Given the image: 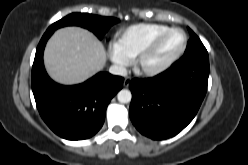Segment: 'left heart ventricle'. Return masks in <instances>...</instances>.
<instances>
[{
	"mask_svg": "<svg viewBox=\"0 0 248 165\" xmlns=\"http://www.w3.org/2000/svg\"><path fill=\"white\" fill-rule=\"evenodd\" d=\"M182 40L180 32H171L166 35L146 59L147 65L155 66L165 61L179 49Z\"/></svg>",
	"mask_w": 248,
	"mask_h": 165,
	"instance_id": "1",
	"label": "left heart ventricle"
}]
</instances>
